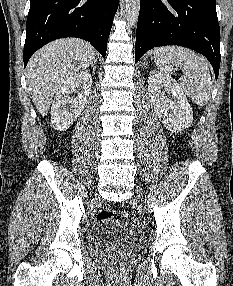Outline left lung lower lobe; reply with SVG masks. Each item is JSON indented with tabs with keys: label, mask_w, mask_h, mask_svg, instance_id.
Listing matches in <instances>:
<instances>
[{
	"label": "left lung lower lobe",
	"mask_w": 233,
	"mask_h": 286,
	"mask_svg": "<svg viewBox=\"0 0 233 286\" xmlns=\"http://www.w3.org/2000/svg\"><path fill=\"white\" fill-rule=\"evenodd\" d=\"M165 45L203 54L217 79L221 56L216 0H140L135 62L153 47Z\"/></svg>",
	"instance_id": "obj_1"
}]
</instances>
